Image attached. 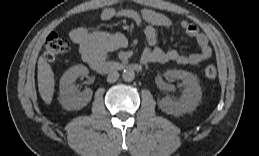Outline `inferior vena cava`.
<instances>
[{"mask_svg": "<svg viewBox=\"0 0 259 156\" xmlns=\"http://www.w3.org/2000/svg\"><path fill=\"white\" fill-rule=\"evenodd\" d=\"M118 78H119V73L117 71H113V72L108 74L107 82L114 83L118 80Z\"/></svg>", "mask_w": 259, "mask_h": 156, "instance_id": "obj_1", "label": "inferior vena cava"}]
</instances>
